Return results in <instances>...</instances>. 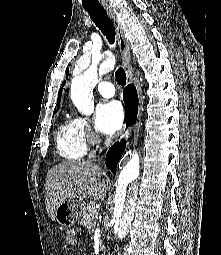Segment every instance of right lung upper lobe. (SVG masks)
I'll use <instances>...</instances> for the list:
<instances>
[{"label":"right lung upper lobe","mask_w":221,"mask_h":255,"mask_svg":"<svg viewBox=\"0 0 221 255\" xmlns=\"http://www.w3.org/2000/svg\"><path fill=\"white\" fill-rule=\"evenodd\" d=\"M68 78V69L66 71V79ZM65 85V82H63L62 86ZM61 94H62V88L59 90V95H58V106L60 105V99H61Z\"/></svg>","instance_id":"cb5924a9"}]
</instances>
